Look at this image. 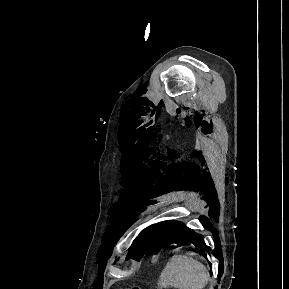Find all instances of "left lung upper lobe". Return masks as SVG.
Segmentation results:
<instances>
[{
    "mask_svg": "<svg viewBox=\"0 0 289 289\" xmlns=\"http://www.w3.org/2000/svg\"><path fill=\"white\" fill-rule=\"evenodd\" d=\"M167 222L152 225L143 230L129 248L128 257L140 260L147 252L157 253L166 245L165 228Z\"/></svg>",
    "mask_w": 289,
    "mask_h": 289,
    "instance_id": "obj_1",
    "label": "left lung upper lobe"
}]
</instances>
